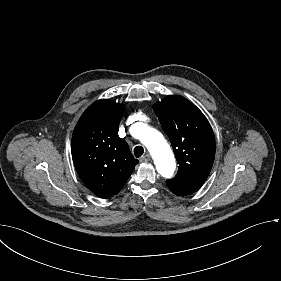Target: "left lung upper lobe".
<instances>
[{
    "instance_id": "obj_1",
    "label": "left lung upper lobe",
    "mask_w": 281,
    "mask_h": 281,
    "mask_svg": "<svg viewBox=\"0 0 281 281\" xmlns=\"http://www.w3.org/2000/svg\"><path fill=\"white\" fill-rule=\"evenodd\" d=\"M153 109L179 164L177 175L167 185L176 195L191 194L205 182L214 162L212 128L202 112L181 96H168Z\"/></svg>"
}]
</instances>
